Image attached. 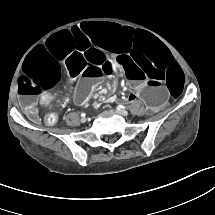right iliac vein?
I'll use <instances>...</instances> for the list:
<instances>
[{
  "label": "right iliac vein",
  "instance_id": "63e3f726",
  "mask_svg": "<svg viewBox=\"0 0 215 215\" xmlns=\"http://www.w3.org/2000/svg\"><path fill=\"white\" fill-rule=\"evenodd\" d=\"M81 121H82V122H86V118L83 117V118L81 119Z\"/></svg>",
  "mask_w": 215,
  "mask_h": 215
}]
</instances>
